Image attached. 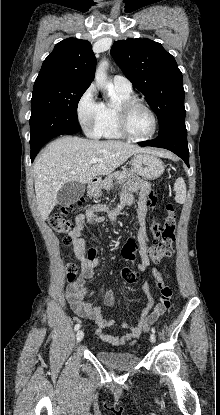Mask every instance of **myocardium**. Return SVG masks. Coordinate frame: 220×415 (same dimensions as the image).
<instances>
[{"label":"myocardium","instance_id":"obj_1","mask_svg":"<svg viewBox=\"0 0 220 415\" xmlns=\"http://www.w3.org/2000/svg\"><path fill=\"white\" fill-rule=\"evenodd\" d=\"M135 107L144 108L147 112H149V114L152 117L153 128H152V131L147 136H144V137L133 136L127 128V116L129 112ZM115 116H116V125H117V129L119 133L128 140H131L134 142L147 141L151 139L157 132L158 119H157V115L155 111L149 105H147L146 103L138 99L130 98L128 100L118 103L115 109Z\"/></svg>","mask_w":220,"mask_h":415}]
</instances>
